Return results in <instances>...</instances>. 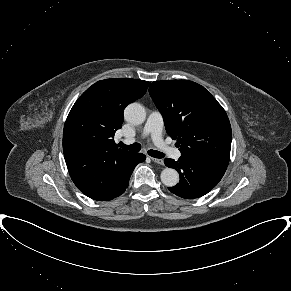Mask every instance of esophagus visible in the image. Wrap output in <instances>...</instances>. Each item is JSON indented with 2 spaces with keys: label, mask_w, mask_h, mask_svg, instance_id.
<instances>
[{
  "label": "esophagus",
  "mask_w": 291,
  "mask_h": 291,
  "mask_svg": "<svg viewBox=\"0 0 291 291\" xmlns=\"http://www.w3.org/2000/svg\"><path fill=\"white\" fill-rule=\"evenodd\" d=\"M151 160L157 164H160V165H163L164 164V161L163 159H159V158H154V157H151Z\"/></svg>",
  "instance_id": "esophagus-1"
}]
</instances>
